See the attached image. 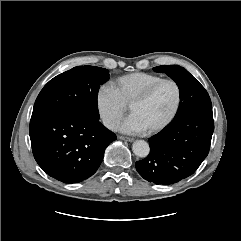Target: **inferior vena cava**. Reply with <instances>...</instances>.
<instances>
[{
	"instance_id": "inferior-vena-cava-1",
	"label": "inferior vena cava",
	"mask_w": 241,
	"mask_h": 241,
	"mask_svg": "<svg viewBox=\"0 0 241 241\" xmlns=\"http://www.w3.org/2000/svg\"><path fill=\"white\" fill-rule=\"evenodd\" d=\"M104 124L112 130H117L118 129V122L115 120H105Z\"/></svg>"
}]
</instances>
